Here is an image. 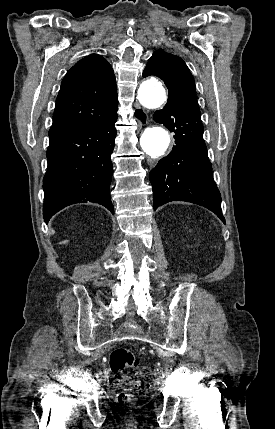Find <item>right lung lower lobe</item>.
<instances>
[{
	"label": "right lung lower lobe",
	"mask_w": 275,
	"mask_h": 429,
	"mask_svg": "<svg viewBox=\"0 0 275 429\" xmlns=\"http://www.w3.org/2000/svg\"><path fill=\"white\" fill-rule=\"evenodd\" d=\"M136 116L145 120L141 111ZM116 120L117 115L50 137L48 170L43 179L45 222L74 203L90 201L114 212L109 190Z\"/></svg>",
	"instance_id": "obj_1"
}]
</instances>
